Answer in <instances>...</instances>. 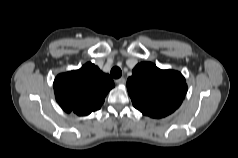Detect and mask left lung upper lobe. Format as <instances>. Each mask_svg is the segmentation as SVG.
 <instances>
[{"label": "left lung upper lobe", "instance_id": "5c2ea615", "mask_svg": "<svg viewBox=\"0 0 238 158\" xmlns=\"http://www.w3.org/2000/svg\"><path fill=\"white\" fill-rule=\"evenodd\" d=\"M127 89L136 109L152 118H162L181 105L187 85L180 72L161 70L146 62L133 69Z\"/></svg>", "mask_w": 238, "mask_h": 158}]
</instances>
